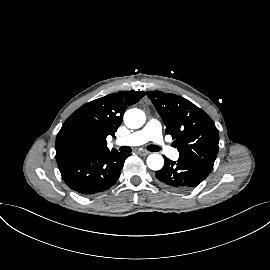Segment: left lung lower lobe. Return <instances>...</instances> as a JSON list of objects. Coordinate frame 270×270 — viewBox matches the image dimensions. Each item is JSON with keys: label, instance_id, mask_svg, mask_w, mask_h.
Segmentation results:
<instances>
[{"label": "left lung lower lobe", "instance_id": "left-lung-lower-lobe-1", "mask_svg": "<svg viewBox=\"0 0 270 270\" xmlns=\"http://www.w3.org/2000/svg\"><path fill=\"white\" fill-rule=\"evenodd\" d=\"M163 168L156 172V178L171 189L189 190L199 185L212 170L191 160L179 158L176 162L164 157Z\"/></svg>", "mask_w": 270, "mask_h": 270}]
</instances>
